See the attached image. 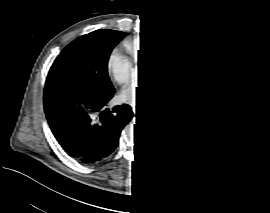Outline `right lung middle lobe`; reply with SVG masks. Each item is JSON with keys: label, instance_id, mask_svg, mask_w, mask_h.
Returning a JSON list of instances; mask_svg holds the SVG:
<instances>
[{"label": "right lung middle lobe", "instance_id": "1", "mask_svg": "<svg viewBox=\"0 0 270 213\" xmlns=\"http://www.w3.org/2000/svg\"><path fill=\"white\" fill-rule=\"evenodd\" d=\"M126 35L103 29L76 39L61 51L52 64L45 87H84L100 93L113 91L107 63L112 49Z\"/></svg>", "mask_w": 270, "mask_h": 213}]
</instances>
